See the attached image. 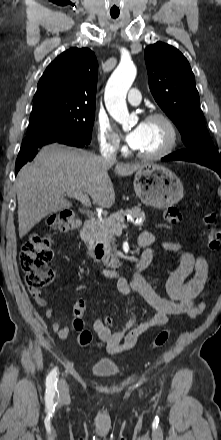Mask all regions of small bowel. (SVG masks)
Masks as SVG:
<instances>
[{"label": "small bowel", "instance_id": "small-bowel-1", "mask_svg": "<svg viewBox=\"0 0 221 440\" xmlns=\"http://www.w3.org/2000/svg\"><path fill=\"white\" fill-rule=\"evenodd\" d=\"M153 243L154 237L150 232L140 234L138 245L144 250L139 261L149 259L151 262ZM164 248L180 255V264L171 273L166 283L169 298L159 295L154 287L140 275L135 265V270L128 277H121L116 281L117 291L126 299L130 307V313L123 329L119 331L106 329L102 319L94 322V332L98 339L105 343L109 354H118L121 351L131 349L149 329L166 326L170 316L187 315L190 318H196L203 311L204 303H195V299L204 288L208 277L207 261L203 257L185 251L177 243H166ZM191 275L192 277L189 278ZM28 292L34 303L38 307L44 308L45 317L51 318L53 310L41 296L40 290L29 287ZM135 295L140 296L154 310L146 320L139 323L137 322ZM51 328L60 340L68 337L67 326L53 322Z\"/></svg>", "mask_w": 221, "mask_h": 440}]
</instances>
